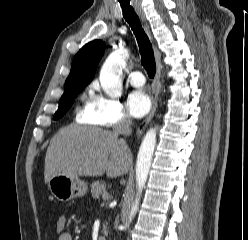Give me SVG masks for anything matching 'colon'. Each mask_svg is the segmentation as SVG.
<instances>
[{"label": "colon", "instance_id": "colon-1", "mask_svg": "<svg viewBox=\"0 0 248 240\" xmlns=\"http://www.w3.org/2000/svg\"><path fill=\"white\" fill-rule=\"evenodd\" d=\"M54 225H55V230L58 233H63L65 232V227H66V218L63 214H58L55 219H54Z\"/></svg>", "mask_w": 248, "mask_h": 240}]
</instances>
